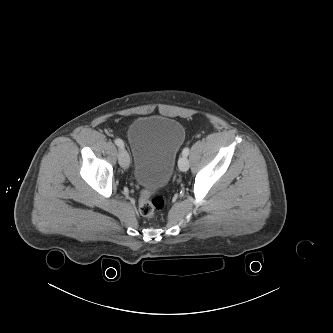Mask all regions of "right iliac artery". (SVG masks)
I'll return each mask as SVG.
<instances>
[{
    "label": "right iliac artery",
    "instance_id": "obj_1",
    "mask_svg": "<svg viewBox=\"0 0 333 333\" xmlns=\"http://www.w3.org/2000/svg\"><path fill=\"white\" fill-rule=\"evenodd\" d=\"M115 144L118 146V147H120V148H124V143H123V141L121 140V139H119V138H116L115 139Z\"/></svg>",
    "mask_w": 333,
    "mask_h": 333
}]
</instances>
